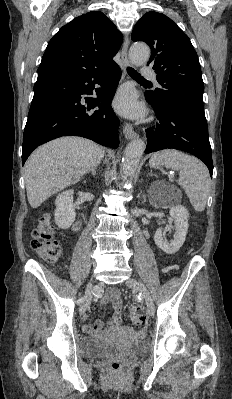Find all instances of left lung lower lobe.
Returning a JSON list of instances; mask_svg holds the SVG:
<instances>
[{
  "mask_svg": "<svg viewBox=\"0 0 232 399\" xmlns=\"http://www.w3.org/2000/svg\"><path fill=\"white\" fill-rule=\"evenodd\" d=\"M145 98L155 110L158 123L146 129L147 147L145 153L162 149L182 150L201 159L213 173V161L208 128L191 119L181 110L164 107Z\"/></svg>",
  "mask_w": 232,
  "mask_h": 399,
  "instance_id": "1",
  "label": "left lung lower lobe"
}]
</instances>
